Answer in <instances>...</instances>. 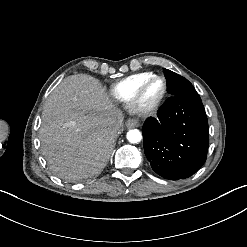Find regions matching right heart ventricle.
<instances>
[{"instance_id":"1","label":"right heart ventricle","mask_w":247,"mask_h":247,"mask_svg":"<svg viewBox=\"0 0 247 247\" xmlns=\"http://www.w3.org/2000/svg\"><path fill=\"white\" fill-rule=\"evenodd\" d=\"M155 75L152 72H144L140 74L131 75L126 77L111 87V91L116 96L118 102L128 103L132 97L135 88L141 83L144 79L149 76Z\"/></svg>"}]
</instances>
